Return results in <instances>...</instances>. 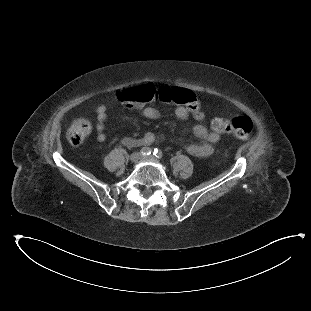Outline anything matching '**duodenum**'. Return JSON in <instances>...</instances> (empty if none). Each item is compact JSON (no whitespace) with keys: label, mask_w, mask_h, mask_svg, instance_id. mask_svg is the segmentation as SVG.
Wrapping results in <instances>:
<instances>
[{"label":"duodenum","mask_w":311,"mask_h":311,"mask_svg":"<svg viewBox=\"0 0 311 311\" xmlns=\"http://www.w3.org/2000/svg\"><path fill=\"white\" fill-rule=\"evenodd\" d=\"M131 141L134 143V145H145L146 144V142L141 139H132Z\"/></svg>","instance_id":"410a0bca"}]
</instances>
